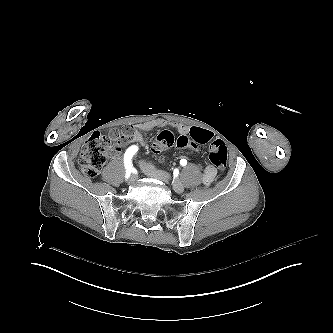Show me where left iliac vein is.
<instances>
[{
  "label": "left iliac vein",
  "instance_id": "left-iliac-vein-1",
  "mask_svg": "<svg viewBox=\"0 0 333 333\" xmlns=\"http://www.w3.org/2000/svg\"><path fill=\"white\" fill-rule=\"evenodd\" d=\"M140 169L142 172L148 176H154L159 179L166 180L168 178L166 173L160 172V173H155L153 172L145 163L141 162L140 163ZM173 189L176 193H182L184 191V185L181 183L179 179L173 180Z\"/></svg>",
  "mask_w": 333,
  "mask_h": 333
}]
</instances>
